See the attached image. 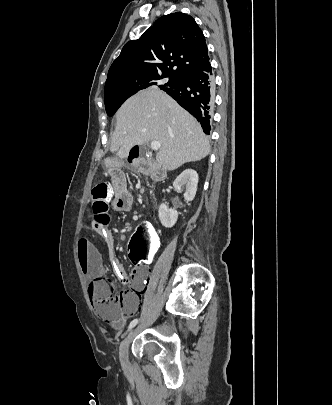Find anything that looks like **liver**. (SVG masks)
Returning <instances> with one entry per match:
<instances>
[{
    "mask_svg": "<svg viewBox=\"0 0 332 405\" xmlns=\"http://www.w3.org/2000/svg\"><path fill=\"white\" fill-rule=\"evenodd\" d=\"M116 120L110 151L119 159L126 158L134 145L150 141L161 144L156 161L164 170L200 161L210 153L200 124L165 92L147 90L132 96L119 108Z\"/></svg>",
    "mask_w": 332,
    "mask_h": 405,
    "instance_id": "liver-1",
    "label": "liver"
}]
</instances>
